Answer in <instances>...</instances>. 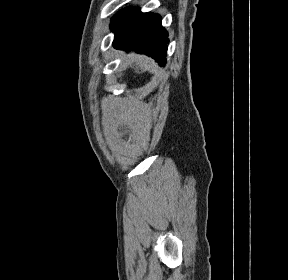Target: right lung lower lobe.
Returning <instances> with one entry per match:
<instances>
[{"mask_svg":"<svg viewBox=\"0 0 288 280\" xmlns=\"http://www.w3.org/2000/svg\"><path fill=\"white\" fill-rule=\"evenodd\" d=\"M111 29L115 33L113 46L116 49H132L152 57L161 66L166 63L169 40L159 15L127 7L112 18Z\"/></svg>","mask_w":288,"mask_h":280,"instance_id":"98d812e1","label":"right lung lower lobe"}]
</instances>
